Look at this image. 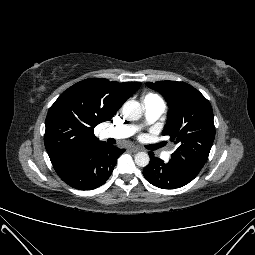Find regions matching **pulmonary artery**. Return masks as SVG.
<instances>
[{
  "mask_svg": "<svg viewBox=\"0 0 255 255\" xmlns=\"http://www.w3.org/2000/svg\"><path fill=\"white\" fill-rule=\"evenodd\" d=\"M145 116L147 122H153L157 120L165 110V103L162 99L156 98L149 102L144 103ZM136 131V127L133 125H124L120 127H112L105 129L102 132L105 138L122 139L133 135Z\"/></svg>",
  "mask_w": 255,
  "mask_h": 255,
  "instance_id": "e3ab8cb5",
  "label": "pulmonary artery"
}]
</instances>
